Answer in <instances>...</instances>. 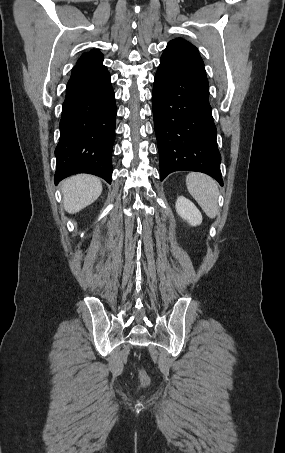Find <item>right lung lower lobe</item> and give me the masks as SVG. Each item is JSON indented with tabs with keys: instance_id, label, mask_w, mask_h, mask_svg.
Instances as JSON below:
<instances>
[{
	"instance_id": "obj_1",
	"label": "right lung lower lobe",
	"mask_w": 285,
	"mask_h": 453,
	"mask_svg": "<svg viewBox=\"0 0 285 453\" xmlns=\"http://www.w3.org/2000/svg\"><path fill=\"white\" fill-rule=\"evenodd\" d=\"M115 95L103 64H76L62 105L55 183L78 173L112 177Z\"/></svg>"
}]
</instances>
